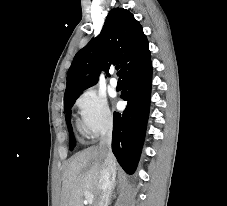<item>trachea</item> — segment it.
<instances>
[{
	"label": "trachea",
	"mask_w": 227,
	"mask_h": 206,
	"mask_svg": "<svg viewBox=\"0 0 227 206\" xmlns=\"http://www.w3.org/2000/svg\"><path fill=\"white\" fill-rule=\"evenodd\" d=\"M115 68H116V70H119L120 66L117 65Z\"/></svg>",
	"instance_id": "3493384b"
}]
</instances>
